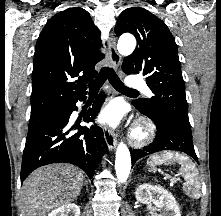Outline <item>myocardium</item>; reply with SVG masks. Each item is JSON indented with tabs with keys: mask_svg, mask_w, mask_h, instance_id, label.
<instances>
[{
	"mask_svg": "<svg viewBox=\"0 0 221 216\" xmlns=\"http://www.w3.org/2000/svg\"><path fill=\"white\" fill-rule=\"evenodd\" d=\"M156 134V128L149 119H140L136 122L132 133L131 143L133 145H144L151 141Z\"/></svg>",
	"mask_w": 221,
	"mask_h": 216,
	"instance_id": "obj_1",
	"label": "myocardium"
}]
</instances>
